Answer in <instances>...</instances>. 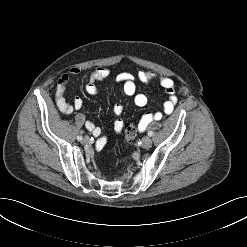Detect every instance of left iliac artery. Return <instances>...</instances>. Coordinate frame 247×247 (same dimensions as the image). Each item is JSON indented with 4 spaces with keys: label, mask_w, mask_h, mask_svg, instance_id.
I'll return each instance as SVG.
<instances>
[{
    "label": "left iliac artery",
    "mask_w": 247,
    "mask_h": 247,
    "mask_svg": "<svg viewBox=\"0 0 247 247\" xmlns=\"http://www.w3.org/2000/svg\"><path fill=\"white\" fill-rule=\"evenodd\" d=\"M152 135H153V132H152V131H149V132H148V136L151 137Z\"/></svg>",
    "instance_id": "left-iliac-artery-1"
}]
</instances>
